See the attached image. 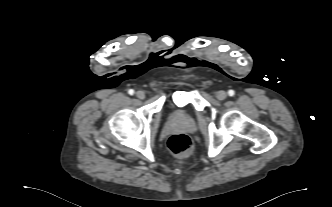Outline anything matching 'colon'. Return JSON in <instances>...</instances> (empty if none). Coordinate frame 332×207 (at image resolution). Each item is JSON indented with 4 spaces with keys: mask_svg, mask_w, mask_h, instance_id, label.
I'll list each match as a JSON object with an SVG mask.
<instances>
[{
    "mask_svg": "<svg viewBox=\"0 0 332 207\" xmlns=\"http://www.w3.org/2000/svg\"><path fill=\"white\" fill-rule=\"evenodd\" d=\"M168 148L177 157H187L193 152V143L187 135L175 134L168 140Z\"/></svg>",
    "mask_w": 332,
    "mask_h": 207,
    "instance_id": "5ec220e1",
    "label": "colon"
}]
</instances>
